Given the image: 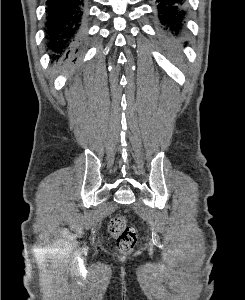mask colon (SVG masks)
<instances>
[{
    "mask_svg": "<svg viewBox=\"0 0 245 300\" xmlns=\"http://www.w3.org/2000/svg\"><path fill=\"white\" fill-rule=\"evenodd\" d=\"M108 230L116 242L117 248L124 253L133 250L137 243V232L128 224L125 216H116L108 224Z\"/></svg>",
    "mask_w": 245,
    "mask_h": 300,
    "instance_id": "colon-1",
    "label": "colon"
}]
</instances>
